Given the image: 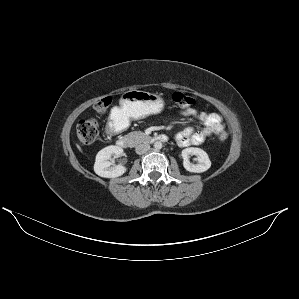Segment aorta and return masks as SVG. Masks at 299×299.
<instances>
[{
    "label": "aorta",
    "mask_w": 299,
    "mask_h": 299,
    "mask_svg": "<svg viewBox=\"0 0 299 299\" xmlns=\"http://www.w3.org/2000/svg\"><path fill=\"white\" fill-rule=\"evenodd\" d=\"M154 148H155L156 150H160V149L162 148V143H161L160 141H156V142L154 143Z\"/></svg>",
    "instance_id": "aorta-1"
}]
</instances>
